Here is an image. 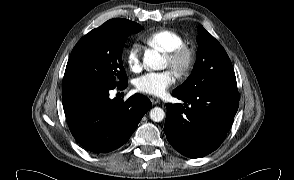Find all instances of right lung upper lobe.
I'll list each match as a JSON object with an SVG mask.
<instances>
[{"mask_svg": "<svg viewBox=\"0 0 294 180\" xmlns=\"http://www.w3.org/2000/svg\"><path fill=\"white\" fill-rule=\"evenodd\" d=\"M135 22H132L130 20L127 19H122V18H114L111 20H108L107 22H105L102 26H107V25H122V26H134Z\"/></svg>", "mask_w": 294, "mask_h": 180, "instance_id": "cb5924a9", "label": "right lung upper lobe"}]
</instances>
